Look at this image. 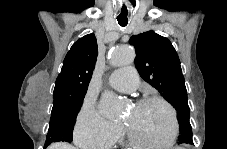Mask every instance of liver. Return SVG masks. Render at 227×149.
I'll return each mask as SVG.
<instances>
[{"instance_id":"6515ba94","label":"liver","mask_w":227,"mask_h":149,"mask_svg":"<svg viewBox=\"0 0 227 149\" xmlns=\"http://www.w3.org/2000/svg\"><path fill=\"white\" fill-rule=\"evenodd\" d=\"M49 149H75V148L67 144L59 143V144L51 145Z\"/></svg>"}]
</instances>
